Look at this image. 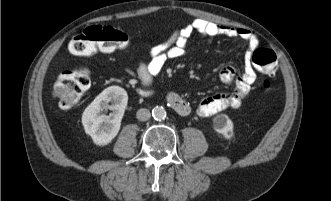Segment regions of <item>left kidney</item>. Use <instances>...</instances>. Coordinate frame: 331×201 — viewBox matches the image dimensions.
I'll return each mask as SVG.
<instances>
[{
  "mask_svg": "<svg viewBox=\"0 0 331 201\" xmlns=\"http://www.w3.org/2000/svg\"><path fill=\"white\" fill-rule=\"evenodd\" d=\"M214 129L226 139L233 137V122L226 114H220L213 120Z\"/></svg>",
  "mask_w": 331,
  "mask_h": 201,
  "instance_id": "left-kidney-1",
  "label": "left kidney"
}]
</instances>
